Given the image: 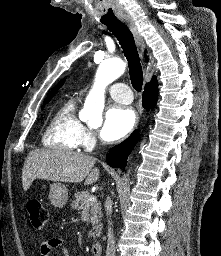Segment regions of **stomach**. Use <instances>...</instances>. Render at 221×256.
<instances>
[{
  "label": "stomach",
  "instance_id": "stomach-1",
  "mask_svg": "<svg viewBox=\"0 0 221 256\" xmlns=\"http://www.w3.org/2000/svg\"><path fill=\"white\" fill-rule=\"evenodd\" d=\"M49 196L54 207L62 208L68 200V190L61 183H53L50 185Z\"/></svg>",
  "mask_w": 221,
  "mask_h": 256
}]
</instances>
